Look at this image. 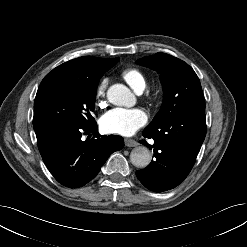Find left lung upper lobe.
Listing matches in <instances>:
<instances>
[{"instance_id": "5c2ea615", "label": "left lung upper lobe", "mask_w": 247, "mask_h": 247, "mask_svg": "<svg viewBox=\"0 0 247 247\" xmlns=\"http://www.w3.org/2000/svg\"><path fill=\"white\" fill-rule=\"evenodd\" d=\"M136 63L158 71L164 92L162 107L146 128H155L176 115L205 113L199 78L184 61L165 53H156L138 59Z\"/></svg>"}]
</instances>
